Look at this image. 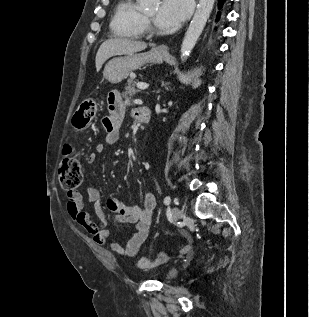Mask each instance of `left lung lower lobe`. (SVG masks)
Returning <instances> with one entry per match:
<instances>
[{"label":"left lung lower lobe","instance_id":"left-lung-lower-lobe-1","mask_svg":"<svg viewBox=\"0 0 309 317\" xmlns=\"http://www.w3.org/2000/svg\"><path fill=\"white\" fill-rule=\"evenodd\" d=\"M225 1H226V0H218V9H219V10L222 9L223 3H224ZM220 14H221V12L219 11V12H218V15H217V18H216L217 21H218L219 18H220Z\"/></svg>","mask_w":309,"mask_h":317}]
</instances>
